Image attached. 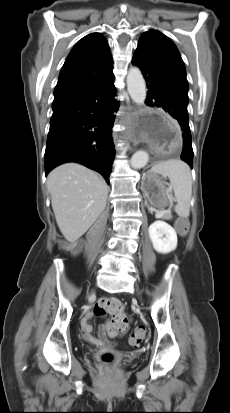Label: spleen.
<instances>
[{"mask_svg": "<svg viewBox=\"0 0 230 413\" xmlns=\"http://www.w3.org/2000/svg\"><path fill=\"white\" fill-rule=\"evenodd\" d=\"M149 172L169 178V190H173L177 202L174 210L179 217L188 218L192 196V177L189 166L179 159H170L156 164Z\"/></svg>", "mask_w": 230, "mask_h": 413, "instance_id": "3e777b00", "label": "spleen"}]
</instances>
